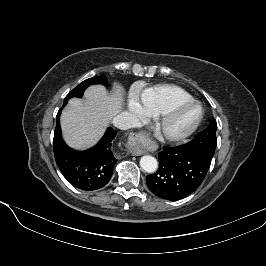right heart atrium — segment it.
I'll use <instances>...</instances> for the list:
<instances>
[{
    "instance_id": "obj_1",
    "label": "right heart atrium",
    "mask_w": 266,
    "mask_h": 266,
    "mask_svg": "<svg viewBox=\"0 0 266 266\" xmlns=\"http://www.w3.org/2000/svg\"><path fill=\"white\" fill-rule=\"evenodd\" d=\"M130 112L139 121H144L149 117L148 112L144 108L143 104L139 101L136 96H131L128 102Z\"/></svg>"
}]
</instances>
